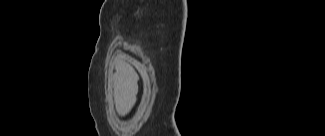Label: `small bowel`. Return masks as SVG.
Here are the masks:
<instances>
[{
    "mask_svg": "<svg viewBox=\"0 0 325 136\" xmlns=\"http://www.w3.org/2000/svg\"><path fill=\"white\" fill-rule=\"evenodd\" d=\"M137 89V79L133 75H128L119 81L118 105L122 110H126L135 99Z\"/></svg>",
    "mask_w": 325,
    "mask_h": 136,
    "instance_id": "1",
    "label": "small bowel"
}]
</instances>
